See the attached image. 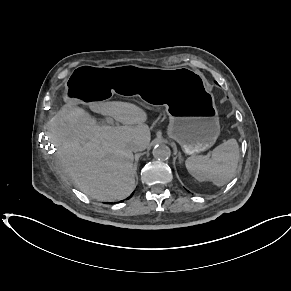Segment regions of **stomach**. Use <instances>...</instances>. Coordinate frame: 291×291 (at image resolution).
Here are the masks:
<instances>
[{"mask_svg": "<svg viewBox=\"0 0 291 291\" xmlns=\"http://www.w3.org/2000/svg\"><path fill=\"white\" fill-rule=\"evenodd\" d=\"M111 94H138L150 103L164 104L170 119L168 135L188 155L209 149L220 134L214 97L206 79L196 70L83 65L71 75L64 98L67 102L90 103Z\"/></svg>", "mask_w": 291, "mask_h": 291, "instance_id": "stomach-1", "label": "stomach"}]
</instances>
